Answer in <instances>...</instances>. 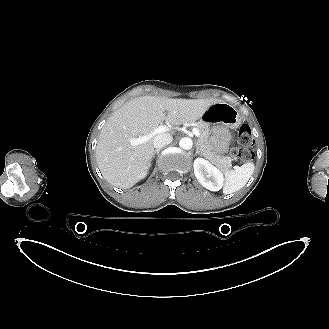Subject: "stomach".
<instances>
[{
    "instance_id": "0dacf381",
    "label": "stomach",
    "mask_w": 329,
    "mask_h": 329,
    "mask_svg": "<svg viewBox=\"0 0 329 329\" xmlns=\"http://www.w3.org/2000/svg\"><path fill=\"white\" fill-rule=\"evenodd\" d=\"M201 118L207 123L220 122L231 129L237 128L242 122L238 110L222 101L211 105Z\"/></svg>"
}]
</instances>
